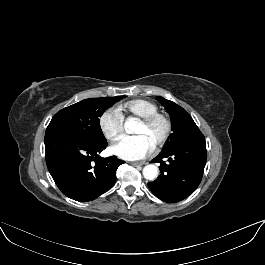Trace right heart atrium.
I'll list each match as a JSON object with an SVG mask.
<instances>
[{
    "label": "right heart atrium",
    "instance_id": "obj_1",
    "mask_svg": "<svg viewBox=\"0 0 265 265\" xmlns=\"http://www.w3.org/2000/svg\"><path fill=\"white\" fill-rule=\"evenodd\" d=\"M98 125L104 137L111 142L117 141L123 133V117L115 109L110 108L102 112Z\"/></svg>",
    "mask_w": 265,
    "mask_h": 265
}]
</instances>
